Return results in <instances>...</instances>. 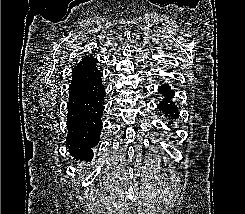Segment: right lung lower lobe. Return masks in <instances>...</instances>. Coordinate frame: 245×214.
Segmentation results:
<instances>
[{
    "mask_svg": "<svg viewBox=\"0 0 245 214\" xmlns=\"http://www.w3.org/2000/svg\"><path fill=\"white\" fill-rule=\"evenodd\" d=\"M78 67L79 63L73 69L69 87L66 146L74 159L90 161L92 148L100 139L105 88L101 84V73L94 80L84 81Z\"/></svg>",
    "mask_w": 245,
    "mask_h": 214,
    "instance_id": "1",
    "label": "right lung lower lobe"
}]
</instances>
